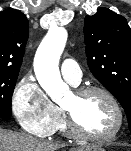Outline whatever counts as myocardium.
<instances>
[{"instance_id": "myocardium-1", "label": "myocardium", "mask_w": 131, "mask_h": 151, "mask_svg": "<svg viewBox=\"0 0 131 151\" xmlns=\"http://www.w3.org/2000/svg\"><path fill=\"white\" fill-rule=\"evenodd\" d=\"M73 94L78 100H82L85 97L90 96L92 94H100L106 97L110 101V103L112 104V106L114 107L116 111L117 125L114 131L111 134L106 135V136H97V135L87 133L79 126L75 115L69 109L62 106V111L65 117L68 132L72 136L78 139L99 142V143H106V142H110L116 139L117 136L120 134L124 125L123 108L120 102L118 101V99L116 98V96L108 89L100 87V86H83V87L75 89Z\"/></svg>"}]
</instances>
